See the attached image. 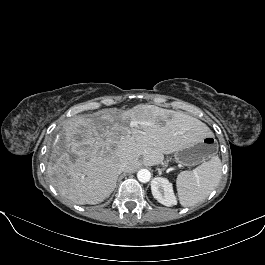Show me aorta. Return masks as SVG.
<instances>
[{"label":"aorta","instance_id":"1","mask_svg":"<svg viewBox=\"0 0 265 265\" xmlns=\"http://www.w3.org/2000/svg\"><path fill=\"white\" fill-rule=\"evenodd\" d=\"M137 178L142 183H147L151 179V173L147 169H141L137 173Z\"/></svg>","mask_w":265,"mask_h":265}]
</instances>
